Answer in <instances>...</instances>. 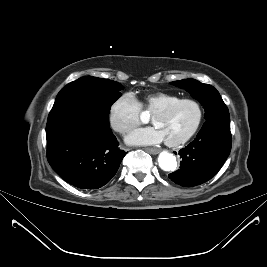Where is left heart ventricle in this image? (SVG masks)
Masks as SVG:
<instances>
[{
	"label": "left heart ventricle",
	"mask_w": 267,
	"mask_h": 267,
	"mask_svg": "<svg viewBox=\"0 0 267 267\" xmlns=\"http://www.w3.org/2000/svg\"><path fill=\"white\" fill-rule=\"evenodd\" d=\"M196 118V107L191 103H183L167 114L152 116V121L162 131L165 140H177L188 133Z\"/></svg>",
	"instance_id": "b2bd125f"
}]
</instances>
